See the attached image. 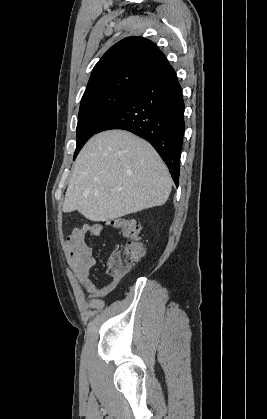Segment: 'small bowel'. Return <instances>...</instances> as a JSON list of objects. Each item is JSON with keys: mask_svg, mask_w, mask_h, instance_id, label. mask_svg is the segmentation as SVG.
<instances>
[{"mask_svg": "<svg viewBox=\"0 0 267 419\" xmlns=\"http://www.w3.org/2000/svg\"><path fill=\"white\" fill-rule=\"evenodd\" d=\"M102 233L103 226L100 223L83 224L73 229L65 238L67 259L72 275L79 285L87 289L91 300L106 298L120 281V277L112 276L108 284L97 286L90 279V271L96 260L87 238L100 237Z\"/></svg>", "mask_w": 267, "mask_h": 419, "instance_id": "1", "label": "small bowel"}]
</instances>
